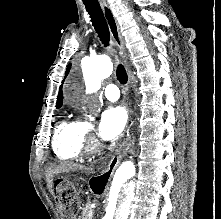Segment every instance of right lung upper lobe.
<instances>
[{"label":"right lung upper lobe","instance_id":"1","mask_svg":"<svg viewBox=\"0 0 221 219\" xmlns=\"http://www.w3.org/2000/svg\"><path fill=\"white\" fill-rule=\"evenodd\" d=\"M70 67H71V64L67 67L66 74H65L66 76H67V74H68V72L70 70ZM61 88H62V85L60 86L59 95L57 97V104H56L57 108H60L62 106V102H63V95H62Z\"/></svg>","mask_w":221,"mask_h":219}]
</instances>
